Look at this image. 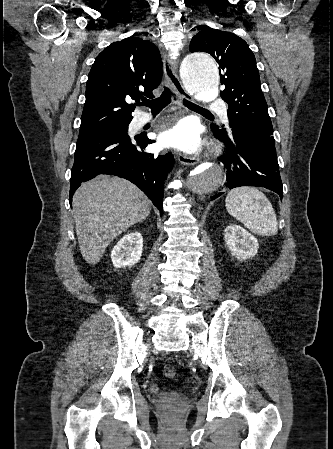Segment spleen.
<instances>
[{
  "instance_id": "3e777b00",
  "label": "spleen",
  "mask_w": 333,
  "mask_h": 449,
  "mask_svg": "<svg viewBox=\"0 0 333 449\" xmlns=\"http://www.w3.org/2000/svg\"><path fill=\"white\" fill-rule=\"evenodd\" d=\"M229 214L252 232L271 236L277 233V218L265 194L256 188L241 186L229 191L225 200Z\"/></svg>"
}]
</instances>
